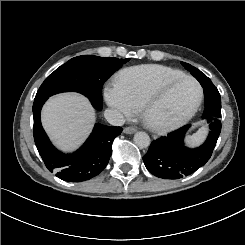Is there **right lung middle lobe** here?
Returning a JSON list of instances; mask_svg holds the SVG:
<instances>
[{"label": "right lung middle lobe", "mask_w": 245, "mask_h": 245, "mask_svg": "<svg viewBox=\"0 0 245 245\" xmlns=\"http://www.w3.org/2000/svg\"><path fill=\"white\" fill-rule=\"evenodd\" d=\"M128 60L93 55L72 58L45 79L35 100L60 92L75 91L87 96L92 105L101 110L104 82Z\"/></svg>", "instance_id": "dd1d6c3e"}]
</instances>
